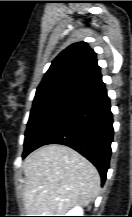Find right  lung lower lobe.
I'll list each match as a JSON object with an SVG mask.
<instances>
[{"label": "right lung lower lobe", "instance_id": "98d812e1", "mask_svg": "<svg viewBox=\"0 0 132 217\" xmlns=\"http://www.w3.org/2000/svg\"><path fill=\"white\" fill-rule=\"evenodd\" d=\"M113 118L105 86L78 96L65 106L23 157L47 144H62L78 151L106 180L113 140Z\"/></svg>", "mask_w": 132, "mask_h": 217}]
</instances>
